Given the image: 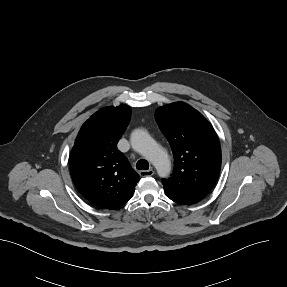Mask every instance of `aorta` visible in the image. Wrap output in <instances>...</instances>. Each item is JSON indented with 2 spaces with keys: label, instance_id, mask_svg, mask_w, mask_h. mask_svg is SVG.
Instances as JSON below:
<instances>
[{
  "label": "aorta",
  "instance_id": "762f6f07",
  "mask_svg": "<svg viewBox=\"0 0 287 287\" xmlns=\"http://www.w3.org/2000/svg\"><path fill=\"white\" fill-rule=\"evenodd\" d=\"M130 141L133 149L154 165L160 177L165 178L169 175L171 163L167 152L146 131L134 130Z\"/></svg>",
  "mask_w": 287,
  "mask_h": 287
}]
</instances>
